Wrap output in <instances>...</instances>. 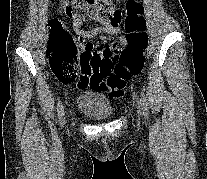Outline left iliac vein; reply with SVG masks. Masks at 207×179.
<instances>
[{
    "instance_id": "4c4485c4",
    "label": "left iliac vein",
    "mask_w": 207,
    "mask_h": 179,
    "mask_svg": "<svg viewBox=\"0 0 207 179\" xmlns=\"http://www.w3.org/2000/svg\"><path fill=\"white\" fill-rule=\"evenodd\" d=\"M138 113L140 116L144 115L141 103L138 104Z\"/></svg>"
}]
</instances>
